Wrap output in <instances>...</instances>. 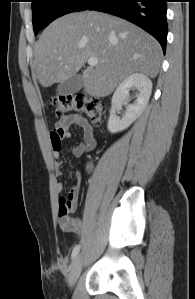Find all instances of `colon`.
<instances>
[{"instance_id":"1","label":"colon","mask_w":195,"mask_h":299,"mask_svg":"<svg viewBox=\"0 0 195 299\" xmlns=\"http://www.w3.org/2000/svg\"><path fill=\"white\" fill-rule=\"evenodd\" d=\"M50 104L58 117L67 113H77L89 117L95 124L101 122L105 111L104 104L88 97L83 92L55 96L50 99ZM64 199L60 201V216H67L71 213V206L69 204L64 205Z\"/></svg>"}]
</instances>
